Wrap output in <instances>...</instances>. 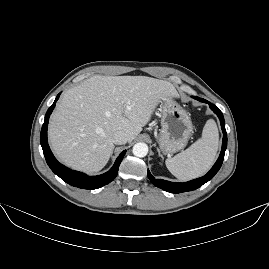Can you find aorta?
<instances>
[{"instance_id":"aorta-1","label":"aorta","mask_w":269,"mask_h":269,"mask_svg":"<svg viewBox=\"0 0 269 269\" xmlns=\"http://www.w3.org/2000/svg\"><path fill=\"white\" fill-rule=\"evenodd\" d=\"M148 153V146L145 143H136L133 146V154L136 157H145Z\"/></svg>"}]
</instances>
